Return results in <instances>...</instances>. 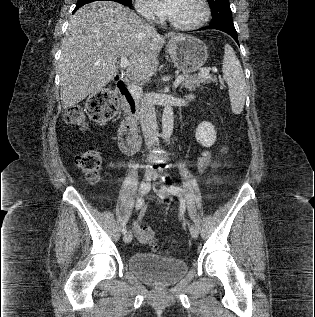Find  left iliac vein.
I'll return each instance as SVG.
<instances>
[{
  "label": "left iliac vein",
  "mask_w": 315,
  "mask_h": 317,
  "mask_svg": "<svg viewBox=\"0 0 315 317\" xmlns=\"http://www.w3.org/2000/svg\"><path fill=\"white\" fill-rule=\"evenodd\" d=\"M154 191L157 193L160 197H168L170 195V192L168 191L167 187L165 185H161L159 189H156L154 187ZM189 231L191 236L196 239L198 237L199 231L195 224L191 223L189 225Z\"/></svg>",
  "instance_id": "left-iliac-vein-1"
}]
</instances>
